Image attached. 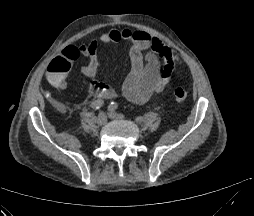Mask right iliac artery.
<instances>
[{
    "label": "right iliac artery",
    "mask_w": 254,
    "mask_h": 216,
    "mask_svg": "<svg viewBox=\"0 0 254 216\" xmlns=\"http://www.w3.org/2000/svg\"><path fill=\"white\" fill-rule=\"evenodd\" d=\"M103 104H104V101L98 99V100L93 101V102L91 103L90 107H91L92 109L97 110V109L101 108V107L103 106Z\"/></svg>",
    "instance_id": "right-iliac-artery-1"
}]
</instances>
